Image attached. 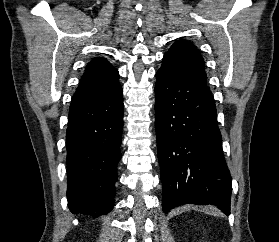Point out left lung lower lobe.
Instances as JSON below:
<instances>
[{
	"mask_svg": "<svg viewBox=\"0 0 279 242\" xmlns=\"http://www.w3.org/2000/svg\"><path fill=\"white\" fill-rule=\"evenodd\" d=\"M155 129L163 211L184 204L230 214L231 177L205 78L170 54L156 73Z\"/></svg>",
	"mask_w": 279,
	"mask_h": 242,
	"instance_id": "left-lung-lower-lobe-1",
	"label": "left lung lower lobe"
}]
</instances>
